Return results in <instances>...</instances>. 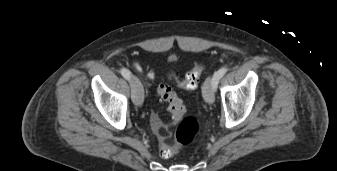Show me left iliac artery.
<instances>
[{"label": "left iliac artery", "mask_w": 337, "mask_h": 171, "mask_svg": "<svg viewBox=\"0 0 337 171\" xmlns=\"http://www.w3.org/2000/svg\"><path fill=\"white\" fill-rule=\"evenodd\" d=\"M227 71L228 69L226 67H223L214 73L213 75L214 89H216L218 81L226 74Z\"/></svg>", "instance_id": "44dca946"}]
</instances>
